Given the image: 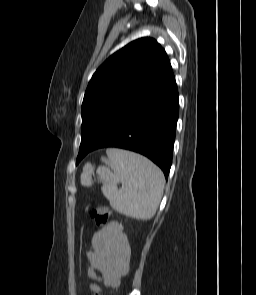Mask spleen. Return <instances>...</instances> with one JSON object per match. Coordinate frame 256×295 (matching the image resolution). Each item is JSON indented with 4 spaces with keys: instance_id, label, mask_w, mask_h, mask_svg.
Instances as JSON below:
<instances>
[{
    "instance_id": "obj_1",
    "label": "spleen",
    "mask_w": 256,
    "mask_h": 295,
    "mask_svg": "<svg viewBox=\"0 0 256 295\" xmlns=\"http://www.w3.org/2000/svg\"><path fill=\"white\" fill-rule=\"evenodd\" d=\"M107 157H101L105 166L97 173L103 181L101 188L111 207L133 218L151 219L161 201L165 179L162 171L150 160L134 152L115 148L107 149ZM94 167L87 164L83 168L81 184L92 185ZM121 183V189L117 184Z\"/></svg>"
}]
</instances>
